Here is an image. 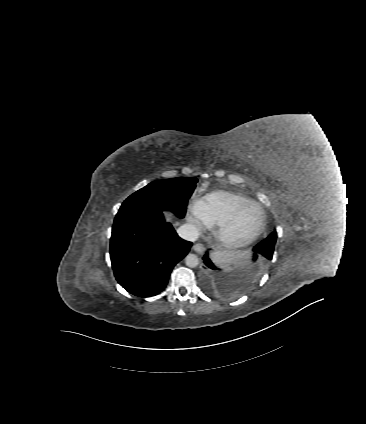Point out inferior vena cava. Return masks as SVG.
<instances>
[{"mask_svg": "<svg viewBox=\"0 0 366 424\" xmlns=\"http://www.w3.org/2000/svg\"><path fill=\"white\" fill-rule=\"evenodd\" d=\"M177 234L184 240L194 242L198 239L200 233L196 226L191 223L181 225L177 229Z\"/></svg>", "mask_w": 366, "mask_h": 424, "instance_id": "1", "label": "inferior vena cava"}]
</instances>
